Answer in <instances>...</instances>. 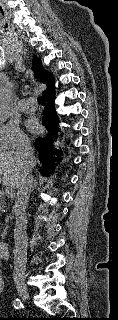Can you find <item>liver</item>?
<instances>
[{"label":"liver","mask_w":118,"mask_h":320,"mask_svg":"<svg viewBox=\"0 0 118 320\" xmlns=\"http://www.w3.org/2000/svg\"><path fill=\"white\" fill-rule=\"evenodd\" d=\"M35 163L34 160V166ZM23 169L24 164L17 151L0 153V183L18 188Z\"/></svg>","instance_id":"6515ba94"}]
</instances>
